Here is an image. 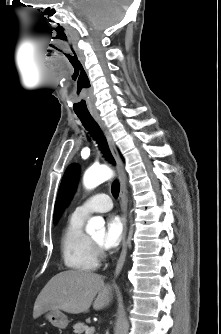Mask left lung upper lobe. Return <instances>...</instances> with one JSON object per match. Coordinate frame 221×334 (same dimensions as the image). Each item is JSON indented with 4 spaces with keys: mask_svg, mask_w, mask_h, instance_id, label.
Instances as JSON below:
<instances>
[{
    "mask_svg": "<svg viewBox=\"0 0 221 334\" xmlns=\"http://www.w3.org/2000/svg\"><path fill=\"white\" fill-rule=\"evenodd\" d=\"M79 172L80 169L77 164H71L66 169L55 203L54 222H56L61 212L73 196L78 182Z\"/></svg>",
    "mask_w": 221,
    "mask_h": 334,
    "instance_id": "1",
    "label": "left lung upper lobe"
}]
</instances>
